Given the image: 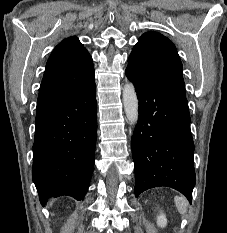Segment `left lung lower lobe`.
<instances>
[{
    "label": "left lung lower lobe",
    "instance_id": "obj_1",
    "mask_svg": "<svg viewBox=\"0 0 227 233\" xmlns=\"http://www.w3.org/2000/svg\"><path fill=\"white\" fill-rule=\"evenodd\" d=\"M139 99V120L131 139L135 195L160 186L174 188L189 202L195 185L194 143L185 96L125 71Z\"/></svg>",
    "mask_w": 227,
    "mask_h": 233
}]
</instances>
